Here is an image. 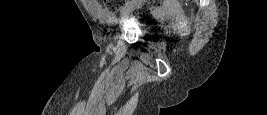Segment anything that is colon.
Returning a JSON list of instances; mask_svg holds the SVG:
<instances>
[{
  "label": "colon",
  "mask_w": 267,
  "mask_h": 115,
  "mask_svg": "<svg viewBox=\"0 0 267 115\" xmlns=\"http://www.w3.org/2000/svg\"><path fill=\"white\" fill-rule=\"evenodd\" d=\"M124 0H103V4L107 11L117 13L124 5ZM162 0H141L139 5L133 10V17L145 20L149 18L153 8L159 7Z\"/></svg>",
  "instance_id": "obj_1"
}]
</instances>
